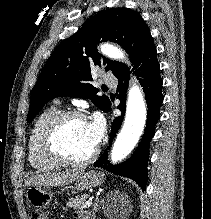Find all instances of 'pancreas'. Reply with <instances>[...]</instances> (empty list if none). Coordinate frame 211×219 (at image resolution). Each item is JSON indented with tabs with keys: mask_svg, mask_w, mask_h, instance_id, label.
Wrapping results in <instances>:
<instances>
[{
	"mask_svg": "<svg viewBox=\"0 0 211 219\" xmlns=\"http://www.w3.org/2000/svg\"><path fill=\"white\" fill-rule=\"evenodd\" d=\"M88 197H89L88 194H83L81 196H76L75 198H71L69 202L66 204V206L73 209H83Z\"/></svg>",
	"mask_w": 211,
	"mask_h": 219,
	"instance_id": "1",
	"label": "pancreas"
}]
</instances>
